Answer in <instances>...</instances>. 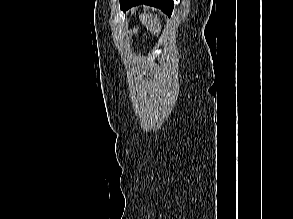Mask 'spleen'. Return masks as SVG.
Listing matches in <instances>:
<instances>
[{
  "label": "spleen",
  "instance_id": "spleen-1",
  "mask_svg": "<svg viewBox=\"0 0 293 219\" xmlns=\"http://www.w3.org/2000/svg\"><path fill=\"white\" fill-rule=\"evenodd\" d=\"M140 21L142 24L149 30L152 34H158L161 29V23L157 15L151 14H141L139 15Z\"/></svg>",
  "mask_w": 293,
  "mask_h": 219
}]
</instances>
